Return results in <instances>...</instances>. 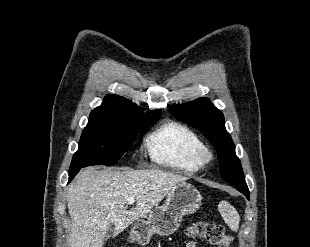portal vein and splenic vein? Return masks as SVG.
I'll return each instance as SVG.
<instances>
[{
	"instance_id": "obj_1",
	"label": "portal vein and splenic vein",
	"mask_w": 310,
	"mask_h": 247,
	"mask_svg": "<svg viewBox=\"0 0 310 247\" xmlns=\"http://www.w3.org/2000/svg\"><path fill=\"white\" fill-rule=\"evenodd\" d=\"M134 202H135V198L134 197H131V198L128 199V204L129 205H132Z\"/></svg>"
}]
</instances>
